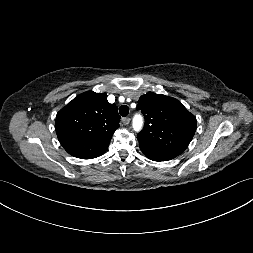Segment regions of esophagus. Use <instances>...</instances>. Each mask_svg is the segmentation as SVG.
Here are the masks:
<instances>
[{
  "label": "esophagus",
  "mask_w": 253,
  "mask_h": 253,
  "mask_svg": "<svg viewBox=\"0 0 253 253\" xmlns=\"http://www.w3.org/2000/svg\"><path fill=\"white\" fill-rule=\"evenodd\" d=\"M122 122L124 125H128L130 123V118L129 117H125L122 119Z\"/></svg>",
  "instance_id": "34e87169"
}]
</instances>
